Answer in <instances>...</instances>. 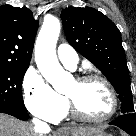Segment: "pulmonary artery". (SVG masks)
Instances as JSON below:
<instances>
[{"mask_svg":"<svg viewBox=\"0 0 136 136\" xmlns=\"http://www.w3.org/2000/svg\"><path fill=\"white\" fill-rule=\"evenodd\" d=\"M57 55L61 63L69 69H75L78 63L77 52L68 44H60Z\"/></svg>","mask_w":136,"mask_h":136,"instance_id":"1","label":"pulmonary artery"}]
</instances>
